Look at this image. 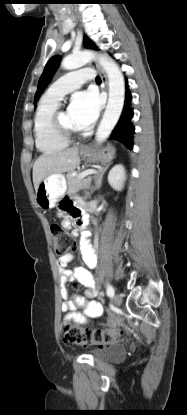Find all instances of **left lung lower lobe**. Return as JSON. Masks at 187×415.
I'll return each instance as SVG.
<instances>
[{"label":"left lung lower lobe","instance_id":"1","mask_svg":"<svg viewBox=\"0 0 187 415\" xmlns=\"http://www.w3.org/2000/svg\"><path fill=\"white\" fill-rule=\"evenodd\" d=\"M126 83V93H125V102L122 114L120 116L119 121L117 122L115 128L111 132L110 139H114L117 141L122 142L128 148H133V133L134 127L131 125V118L133 117V110L131 108V100L132 96L129 91V86L127 79L125 80Z\"/></svg>","mask_w":187,"mask_h":415}]
</instances>
